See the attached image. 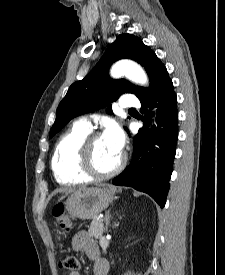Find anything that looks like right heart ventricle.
Instances as JSON below:
<instances>
[{"label": "right heart ventricle", "instance_id": "e07e8e85", "mask_svg": "<svg viewBox=\"0 0 225 275\" xmlns=\"http://www.w3.org/2000/svg\"><path fill=\"white\" fill-rule=\"evenodd\" d=\"M89 132V128L76 123L59 138L51 161L54 177L58 183L74 185L90 180L77 166L79 144Z\"/></svg>", "mask_w": 225, "mask_h": 275}]
</instances>
